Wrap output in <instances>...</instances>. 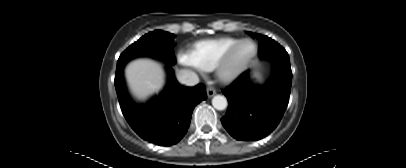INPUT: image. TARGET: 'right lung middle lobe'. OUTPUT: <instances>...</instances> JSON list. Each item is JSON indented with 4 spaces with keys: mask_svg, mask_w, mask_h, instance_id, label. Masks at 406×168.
Instances as JSON below:
<instances>
[{
    "mask_svg": "<svg viewBox=\"0 0 406 168\" xmlns=\"http://www.w3.org/2000/svg\"><path fill=\"white\" fill-rule=\"evenodd\" d=\"M175 35L156 30L141 37L129 46L117 61V70L124 69L126 64L133 59L149 57L173 65L176 62L173 46Z\"/></svg>",
    "mask_w": 406,
    "mask_h": 168,
    "instance_id": "dd1d6c3e",
    "label": "right lung middle lobe"
}]
</instances>
